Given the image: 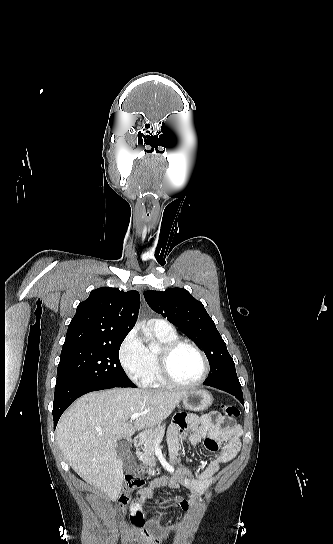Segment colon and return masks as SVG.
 I'll list each match as a JSON object with an SVG mask.
<instances>
[{"label":"colon","instance_id":"obj_1","mask_svg":"<svg viewBox=\"0 0 333 544\" xmlns=\"http://www.w3.org/2000/svg\"><path fill=\"white\" fill-rule=\"evenodd\" d=\"M222 413L228 418H235L239 415V410L236 406L225 404L221 406ZM145 483L144 479L133 475H126L122 492L117 500V507L120 512H124L128 505L133 501V492L142 487Z\"/></svg>","mask_w":333,"mask_h":544}]
</instances>
